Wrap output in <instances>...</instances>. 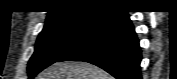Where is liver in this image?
Returning <instances> with one entry per match:
<instances>
[{
  "label": "liver",
  "instance_id": "liver-1",
  "mask_svg": "<svg viewBox=\"0 0 177 79\" xmlns=\"http://www.w3.org/2000/svg\"><path fill=\"white\" fill-rule=\"evenodd\" d=\"M38 79H111V76L87 62H57L41 72Z\"/></svg>",
  "mask_w": 177,
  "mask_h": 79
}]
</instances>
